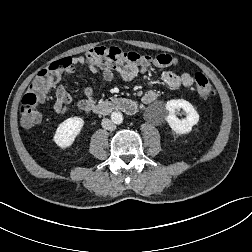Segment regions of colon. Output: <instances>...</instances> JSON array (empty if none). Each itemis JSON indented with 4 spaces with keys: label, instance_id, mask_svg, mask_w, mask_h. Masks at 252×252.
<instances>
[{
    "label": "colon",
    "instance_id": "obj_1",
    "mask_svg": "<svg viewBox=\"0 0 252 252\" xmlns=\"http://www.w3.org/2000/svg\"><path fill=\"white\" fill-rule=\"evenodd\" d=\"M87 58L100 68H127L130 66L140 69L168 68L177 64L176 58L167 54L146 57L135 52L123 51L116 46L95 47L87 52ZM71 65L70 58H64L51 63L36 75L27 93L23 96L19 108L21 123L25 127H31L41 121L40 103L45 99L47 90L58 82L61 73L69 69ZM194 80L196 91L201 98L211 99L215 95V88L204 74L197 73Z\"/></svg>",
    "mask_w": 252,
    "mask_h": 252
}]
</instances>
